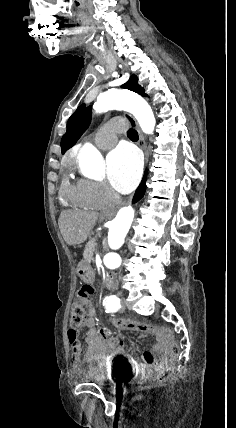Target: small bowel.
<instances>
[{
    "label": "small bowel",
    "mask_w": 236,
    "mask_h": 428,
    "mask_svg": "<svg viewBox=\"0 0 236 428\" xmlns=\"http://www.w3.org/2000/svg\"><path fill=\"white\" fill-rule=\"evenodd\" d=\"M83 326L86 327L87 350L84 359L86 361H102L114 358H124L126 363L136 370L157 368L166 362V348L164 344H156L151 351L145 352L141 360L136 359L126 351L125 343L115 337H108L104 327L99 326L94 309L89 305L87 316ZM70 342L72 347L73 362H81V346L77 339Z\"/></svg>",
    "instance_id": "c3829d8e"
}]
</instances>
